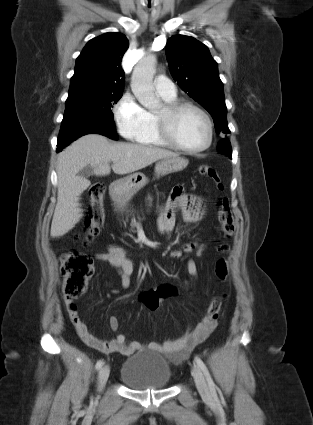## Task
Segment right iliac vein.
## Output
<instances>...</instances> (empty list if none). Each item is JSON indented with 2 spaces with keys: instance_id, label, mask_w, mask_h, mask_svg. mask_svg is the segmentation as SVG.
I'll return each mask as SVG.
<instances>
[{
  "instance_id": "1",
  "label": "right iliac vein",
  "mask_w": 313,
  "mask_h": 425,
  "mask_svg": "<svg viewBox=\"0 0 313 425\" xmlns=\"http://www.w3.org/2000/svg\"><path fill=\"white\" fill-rule=\"evenodd\" d=\"M110 374V367L109 365H104L100 371H99V377H98V391L101 392L103 387L105 386L108 377Z\"/></svg>"
}]
</instances>
